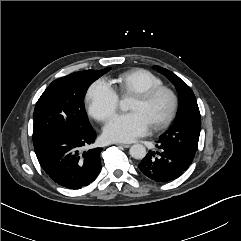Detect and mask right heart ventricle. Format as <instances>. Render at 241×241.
I'll use <instances>...</instances> for the list:
<instances>
[{
	"label": "right heart ventricle",
	"mask_w": 241,
	"mask_h": 241,
	"mask_svg": "<svg viewBox=\"0 0 241 241\" xmlns=\"http://www.w3.org/2000/svg\"><path fill=\"white\" fill-rule=\"evenodd\" d=\"M117 91L124 97L134 96L146 89L162 85V80L145 69H132L121 73L116 79Z\"/></svg>",
	"instance_id": "1"
}]
</instances>
